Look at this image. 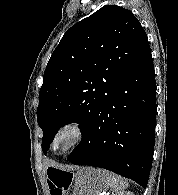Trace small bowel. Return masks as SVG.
<instances>
[{
    "instance_id": "obj_1",
    "label": "small bowel",
    "mask_w": 178,
    "mask_h": 195,
    "mask_svg": "<svg viewBox=\"0 0 178 195\" xmlns=\"http://www.w3.org/2000/svg\"><path fill=\"white\" fill-rule=\"evenodd\" d=\"M51 194L52 195H62L60 192H57V191H54V190L51 191Z\"/></svg>"
}]
</instances>
